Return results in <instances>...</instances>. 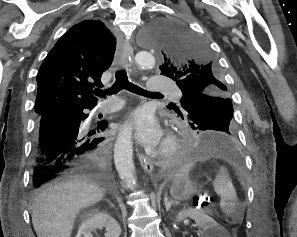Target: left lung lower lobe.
<instances>
[{
    "mask_svg": "<svg viewBox=\"0 0 297 237\" xmlns=\"http://www.w3.org/2000/svg\"><path fill=\"white\" fill-rule=\"evenodd\" d=\"M192 129L197 132L191 136L190 141L182 149L181 158L183 160L210 155L233 157L237 154L236 139L218 132L220 130H203L193 126Z\"/></svg>",
    "mask_w": 297,
    "mask_h": 237,
    "instance_id": "1",
    "label": "left lung lower lobe"
}]
</instances>
